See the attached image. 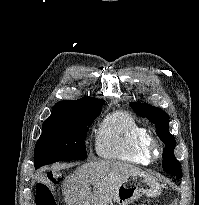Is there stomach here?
<instances>
[{"label":"stomach","instance_id":"0dacf381","mask_svg":"<svg viewBox=\"0 0 199 205\" xmlns=\"http://www.w3.org/2000/svg\"><path fill=\"white\" fill-rule=\"evenodd\" d=\"M161 189V184L151 175L131 174L121 181L114 202L117 205H129L143 194L148 197H156L160 195Z\"/></svg>","mask_w":199,"mask_h":205}]
</instances>
